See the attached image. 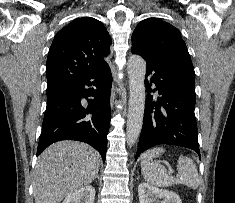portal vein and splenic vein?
<instances>
[{"instance_id":"18ae733b","label":"portal vein and splenic vein","mask_w":235,"mask_h":203,"mask_svg":"<svg viewBox=\"0 0 235 203\" xmlns=\"http://www.w3.org/2000/svg\"><path fill=\"white\" fill-rule=\"evenodd\" d=\"M170 173L172 174L173 173V170L172 169H169Z\"/></svg>"}]
</instances>
